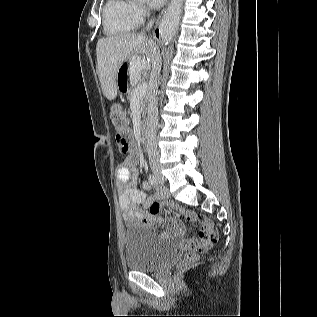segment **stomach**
Instances as JSON below:
<instances>
[{
  "mask_svg": "<svg viewBox=\"0 0 317 317\" xmlns=\"http://www.w3.org/2000/svg\"><path fill=\"white\" fill-rule=\"evenodd\" d=\"M145 66H147V59H142L141 55H128L127 59H123L119 70L116 71V93L129 94L130 86H134L135 82L141 83L139 74H143Z\"/></svg>",
  "mask_w": 317,
  "mask_h": 317,
  "instance_id": "stomach-1",
  "label": "stomach"
}]
</instances>
